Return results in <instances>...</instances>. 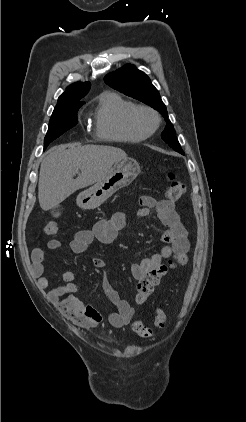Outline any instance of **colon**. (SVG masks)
<instances>
[{"label":"colon","instance_id":"5ec220e1","mask_svg":"<svg viewBox=\"0 0 246 422\" xmlns=\"http://www.w3.org/2000/svg\"><path fill=\"white\" fill-rule=\"evenodd\" d=\"M169 184L166 189V196L169 200L175 201L182 197L185 192V186L182 182L176 179L173 173H168ZM43 231L46 235H55L59 231V227L54 222H48L44 225ZM188 262L187 254H177L169 262L160 265L144 274L138 280L136 301L139 305H143L148 297L153 293L155 287L160 283L161 279L169 273L170 270L184 266ZM166 315L164 311L157 308L154 312V324L158 328H163L166 324ZM132 329L139 336L148 337L151 335V330L146 327L140 320H136L132 324Z\"/></svg>","mask_w":246,"mask_h":422}]
</instances>
